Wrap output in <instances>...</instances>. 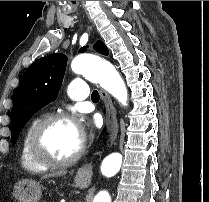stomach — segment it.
I'll use <instances>...</instances> for the list:
<instances>
[{
	"mask_svg": "<svg viewBox=\"0 0 209 202\" xmlns=\"http://www.w3.org/2000/svg\"><path fill=\"white\" fill-rule=\"evenodd\" d=\"M75 183L80 188H86L89 180L76 177ZM13 196L18 202H39L42 196V188L34 180L23 179L14 185Z\"/></svg>",
	"mask_w": 209,
	"mask_h": 202,
	"instance_id": "0dacf381",
	"label": "stomach"
}]
</instances>
